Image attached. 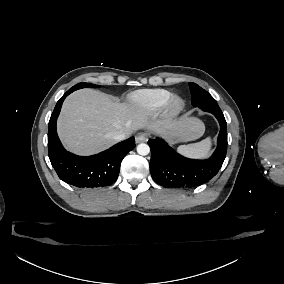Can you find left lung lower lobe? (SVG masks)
<instances>
[{
	"label": "left lung lower lobe",
	"mask_w": 284,
	"mask_h": 284,
	"mask_svg": "<svg viewBox=\"0 0 284 284\" xmlns=\"http://www.w3.org/2000/svg\"><path fill=\"white\" fill-rule=\"evenodd\" d=\"M212 113L219 121L218 145L213 155L206 160L188 159L174 151L160 138L150 139V173L153 180L168 188H191L208 182L220 170L227 151V124L217 103L199 106Z\"/></svg>",
	"instance_id": "1"
}]
</instances>
